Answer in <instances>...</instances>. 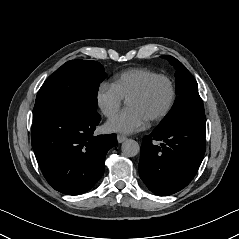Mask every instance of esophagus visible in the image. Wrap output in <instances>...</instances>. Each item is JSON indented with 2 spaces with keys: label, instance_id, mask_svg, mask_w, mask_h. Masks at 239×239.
<instances>
[{
  "label": "esophagus",
  "instance_id": "obj_1",
  "mask_svg": "<svg viewBox=\"0 0 239 239\" xmlns=\"http://www.w3.org/2000/svg\"><path fill=\"white\" fill-rule=\"evenodd\" d=\"M126 139H127V137H126L125 135H121V134H118V135H117V141H118L119 143L124 142Z\"/></svg>",
  "mask_w": 239,
  "mask_h": 239
}]
</instances>
